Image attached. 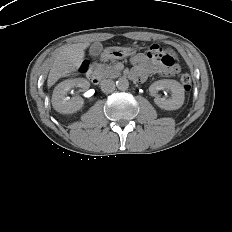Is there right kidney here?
Returning <instances> with one entry per match:
<instances>
[{"label": "right kidney", "mask_w": 232, "mask_h": 232, "mask_svg": "<svg viewBox=\"0 0 232 232\" xmlns=\"http://www.w3.org/2000/svg\"><path fill=\"white\" fill-rule=\"evenodd\" d=\"M89 86V82L83 78L68 79L59 83L52 95L53 108L61 114H72L79 111L83 107L84 100L79 96L70 99L66 97V94L71 88L80 87L82 90H87Z\"/></svg>", "instance_id": "1"}]
</instances>
